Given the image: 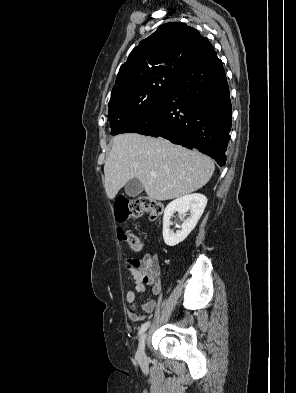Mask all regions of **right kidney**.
<instances>
[{
	"label": "right kidney",
	"instance_id": "right-kidney-1",
	"mask_svg": "<svg viewBox=\"0 0 296 393\" xmlns=\"http://www.w3.org/2000/svg\"><path fill=\"white\" fill-rule=\"evenodd\" d=\"M206 204L207 198L199 193L185 195L170 202L164 211L163 217V239L165 244L175 246L185 240L198 223ZM188 211L190 212V217L183 221L181 230L175 233L170 230V219L173 214L178 212L184 219Z\"/></svg>",
	"mask_w": 296,
	"mask_h": 393
}]
</instances>
